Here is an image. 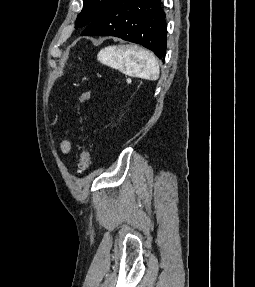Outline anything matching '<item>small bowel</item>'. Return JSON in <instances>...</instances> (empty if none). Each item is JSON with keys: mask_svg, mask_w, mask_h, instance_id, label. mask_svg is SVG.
I'll return each mask as SVG.
<instances>
[{"mask_svg": "<svg viewBox=\"0 0 255 287\" xmlns=\"http://www.w3.org/2000/svg\"><path fill=\"white\" fill-rule=\"evenodd\" d=\"M60 149H61V152L64 154V155H67L70 153L71 151V143L69 140H63L61 145H60Z\"/></svg>", "mask_w": 255, "mask_h": 287, "instance_id": "obj_1", "label": "small bowel"}]
</instances>
